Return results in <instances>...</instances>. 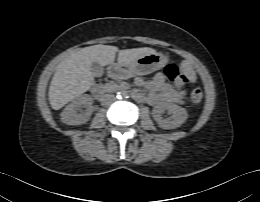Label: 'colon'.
I'll list each match as a JSON object with an SVG mask.
<instances>
[{
  "instance_id": "obj_1",
  "label": "colon",
  "mask_w": 260,
  "mask_h": 202,
  "mask_svg": "<svg viewBox=\"0 0 260 202\" xmlns=\"http://www.w3.org/2000/svg\"><path fill=\"white\" fill-rule=\"evenodd\" d=\"M165 75L168 80L176 87L184 86L189 80L188 77L175 64H169L166 66ZM190 99L192 103L199 104L203 99V93L201 89L196 88L192 90Z\"/></svg>"
}]
</instances>
